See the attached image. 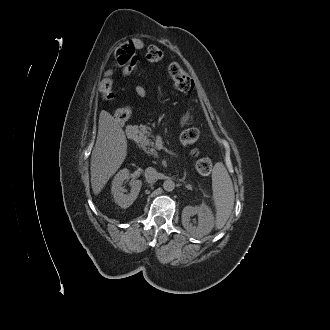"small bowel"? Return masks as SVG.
I'll use <instances>...</instances> for the list:
<instances>
[{
    "instance_id": "c3829d8e",
    "label": "small bowel",
    "mask_w": 330,
    "mask_h": 330,
    "mask_svg": "<svg viewBox=\"0 0 330 330\" xmlns=\"http://www.w3.org/2000/svg\"><path fill=\"white\" fill-rule=\"evenodd\" d=\"M131 44L136 49H141L143 47V42L137 38L133 39L131 41ZM120 66H121V74L123 76H128L135 70V68L137 66V60L135 58L131 62H129L125 65H120ZM135 93L138 97L144 98L147 95V89L144 86L138 85L135 87ZM118 111L120 113V117L125 118V120L122 122H125L129 119V117L131 115V110L129 107L120 108V109H118Z\"/></svg>"
}]
</instances>
